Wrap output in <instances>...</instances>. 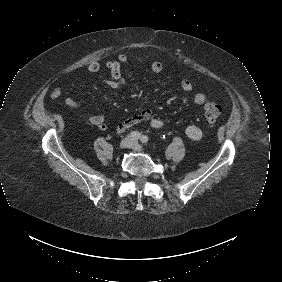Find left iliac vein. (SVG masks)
<instances>
[{
  "mask_svg": "<svg viewBox=\"0 0 282 282\" xmlns=\"http://www.w3.org/2000/svg\"><path fill=\"white\" fill-rule=\"evenodd\" d=\"M131 148L135 151H142L143 150L142 146L136 140H133Z\"/></svg>",
  "mask_w": 282,
  "mask_h": 282,
  "instance_id": "obj_1",
  "label": "left iliac vein"
}]
</instances>
